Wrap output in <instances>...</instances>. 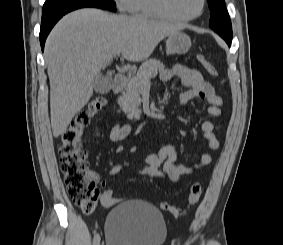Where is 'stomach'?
<instances>
[{"mask_svg":"<svg viewBox=\"0 0 283 245\" xmlns=\"http://www.w3.org/2000/svg\"><path fill=\"white\" fill-rule=\"evenodd\" d=\"M191 47L190 37L182 31H177L168 36L166 52L168 54H185Z\"/></svg>","mask_w":283,"mask_h":245,"instance_id":"0dacf381","label":"stomach"}]
</instances>
